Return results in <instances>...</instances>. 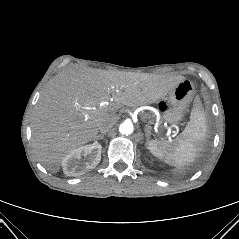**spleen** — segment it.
<instances>
[{
  "label": "spleen",
  "instance_id": "obj_1",
  "mask_svg": "<svg viewBox=\"0 0 239 239\" xmlns=\"http://www.w3.org/2000/svg\"><path fill=\"white\" fill-rule=\"evenodd\" d=\"M206 116L199 99H195L190 121L183 132L172 144L167 141H148L147 148L161 161L183 167L192 163L201 150V143L206 137Z\"/></svg>",
  "mask_w": 239,
  "mask_h": 239
}]
</instances>
